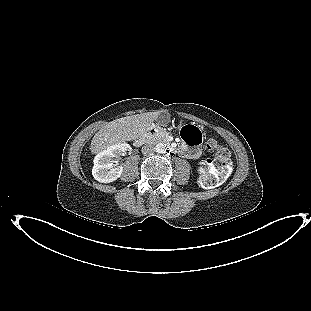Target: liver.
I'll return each mask as SVG.
<instances>
[{"label":"liver","instance_id":"obj_1","mask_svg":"<svg viewBox=\"0 0 311 311\" xmlns=\"http://www.w3.org/2000/svg\"><path fill=\"white\" fill-rule=\"evenodd\" d=\"M158 115V112H147L107 123L94 135L91 141L90 150L92 154L100 153L118 143L137 139L146 132Z\"/></svg>","mask_w":311,"mask_h":311}]
</instances>
